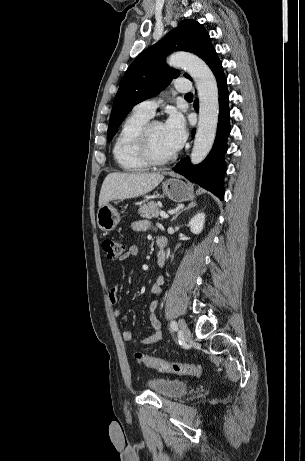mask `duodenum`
Returning a JSON list of instances; mask_svg holds the SVG:
<instances>
[{
	"label": "duodenum",
	"mask_w": 305,
	"mask_h": 461,
	"mask_svg": "<svg viewBox=\"0 0 305 461\" xmlns=\"http://www.w3.org/2000/svg\"><path fill=\"white\" fill-rule=\"evenodd\" d=\"M157 247L159 248L160 252H162L167 245V239L163 236H159L156 240Z\"/></svg>",
	"instance_id": "duodenum-1"
}]
</instances>
